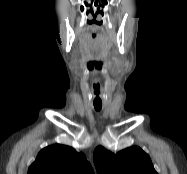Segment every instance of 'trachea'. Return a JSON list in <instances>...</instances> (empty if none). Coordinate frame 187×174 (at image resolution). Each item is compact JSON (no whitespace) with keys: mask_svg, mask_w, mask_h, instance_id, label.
<instances>
[{"mask_svg":"<svg viewBox=\"0 0 187 174\" xmlns=\"http://www.w3.org/2000/svg\"><path fill=\"white\" fill-rule=\"evenodd\" d=\"M97 111H100V108H96Z\"/></svg>","mask_w":187,"mask_h":174,"instance_id":"obj_1","label":"trachea"}]
</instances>
